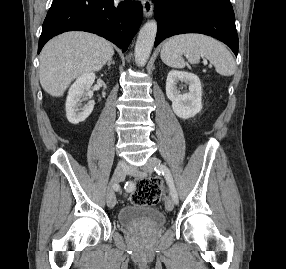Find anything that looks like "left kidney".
<instances>
[{
	"label": "left kidney",
	"instance_id": "1",
	"mask_svg": "<svg viewBox=\"0 0 286 269\" xmlns=\"http://www.w3.org/2000/svg\"><path fill=\"white\" fill-rule=\"evenodd\" d=\"M180 81L189 85L188 93L179 91L177 85ZM166 95L172 101L174 113L182 119L194 117L202 109L201 82L193 73L170 71L166 80Z\"/></svg>",
	"mask_w": 286,
	"mask_h": 269
}]
</instances>
